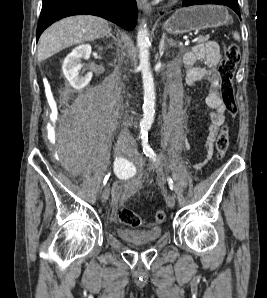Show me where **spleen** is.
Instances as JSON below:
<instances>
[{
    "instance_id": "3e777b00",
    "label": "spleen",
    "mask_w": 267,
    "mask_h": 298,
    "mask_svg": "<svg viewBox=\"0 0 267 298\" xmlns=\"http://www.w3.org/2000/svg\"><path fill=\"white\" fill-rule=\"evenodd\" d=\"M233 37L235 40L239 41L240 40V36L237 32L233 33Z\"/></svg>"
}]
</instances>
